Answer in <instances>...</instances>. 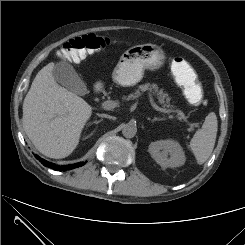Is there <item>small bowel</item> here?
I'll return each instance as SVG.
<instances>
[{"label":"small bowel","mask_w":245,"mask_h":245,"mask_svg":"<svg viewBox=\"0 0 245 245\" xmlns=\"http://www.w3.org/2000/svg\"><path fill=\"white\" fill-rule=\"evenodd\" d=\"M177 59H180L179 57L174 59L172 63V71L175 76H179L185 79H191L196 77L194 70L190 67V65L184 61L179 62Z\"/></svg>","instance_id":"obj_1"}]
</instances>
